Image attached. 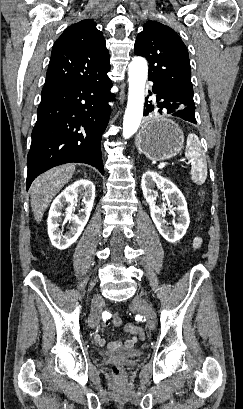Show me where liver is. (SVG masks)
Instances as JSON below:
<instances>
[{
    "label": "liver",
    "mask_w": 243,
    "mask_h": 409,
    "mask_svg": "<svg viewBox=\"0 0 243 409\" xmlns=\"http://www.w3.org/2000/svg\"><path fill=\"white\" fill-rule=\"evenodd\" d=\"M74 172V164H65L46 171L33 181L30 203L37 222L41 221L52 199L69 182Z\"/></svg>",
    "instance_id": "6515ba94"
}]
</instances>
